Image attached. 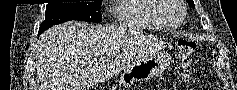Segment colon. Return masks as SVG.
Segmentation results:
<instances>
[{
    "label": "colon",
    "instance_id": "5ec220e1",
    "mask_svg": "<svg viewBox=\"0 0 237 90\" xmlns=\"http://www.w3.org/2000/svg\"><path fill=\"white\" fill-rule=\"evenodd\" d=\"M196 47L197 44L195 41L187 39L178 41L177 50L179 54L181 74L183 77H187L190 72L191 61Z\"/></svg>",
    "mask_w": 237,
    "mask_h": 90
}]
</instances>
